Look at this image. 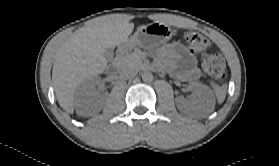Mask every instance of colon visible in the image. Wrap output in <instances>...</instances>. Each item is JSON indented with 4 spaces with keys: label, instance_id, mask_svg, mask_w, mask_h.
<instances>
[{
    "label": "colon",
    "instance_id": "5ec220e1",
    "mask_svg": "<svg viewBox=\"0 0 279 166\" xmlns=\"http://www.w3.org/2000/svg\"><path fill=\"white\" fill-rule=\"evenodd\" d=\"M183 39L187 46L195 52H202L208 45V40L197 32H186ZM204 71L217 83H222L226 78V67L223 57L216 53H204L201 57Z\"/></svg>",
    "mask_w": 279,
    "mask_h": 166
}]
</instances>
